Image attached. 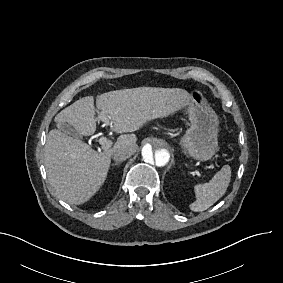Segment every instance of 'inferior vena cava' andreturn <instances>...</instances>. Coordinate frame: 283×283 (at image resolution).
Listing matches in <instances>:
<instances>
[{"label":"inferior vena cava","instance_id":"602c4592","mask_svg":"<svg viewBox=\"0 0 283 283\" xmlns=\"http://www.w3.org/2000/svg\"><path fill=\"white\" fill-rule=\"evenodd\" d=\"M134 154V149L130 146H117L112 149V158L117 162H122Z\"/></svg>","mask_w":283,"mask_h":283}]
</instances>
